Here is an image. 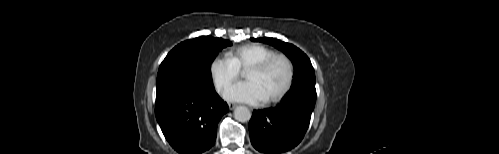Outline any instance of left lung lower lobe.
<instances>
[{
	"label": "left lung lower lobe",
	"mask_w": 499,
	"mask_h": 154,
	"mask_svg": "<svg viewBox=\"0 0 499 154\" xmlns=\"http://www.w3.org/2000/svg\"><path fill=\"white\" fill-rule=\"evenodd\" d=\"M315 102V85L296 86L276 107L254 110L249 122L254 148L277 154L297 146L308 129Z\"/></svg>",
	"instance_id": "obj_1"
}]
</instances>
